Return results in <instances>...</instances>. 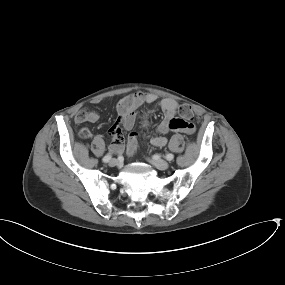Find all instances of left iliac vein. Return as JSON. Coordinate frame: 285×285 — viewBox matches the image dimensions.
<instances>
[{
	"instance_id": "obj_1",
	"label": "left iliac vein",
	"mask_w": 285,
	"mask_h": 285,
	"mask_svg": "<svg viewBox=\"0 0 285 285\" xmlns=\"http://www.w3.org/2000/svg\"><path fill=\"white\" fill-rule=\"evenodd\" d=\"M150 163H152L159 170H166L169 167V163L166 160L156 157L150 159Z\"/></svg>"
}]
</instances>
